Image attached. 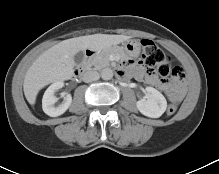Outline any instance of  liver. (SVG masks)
<instances>
[{
  "label": "liver",
  "instance_id": "1",
  "mask_svg": "<svg viewBox=\"0 0 219 174\" xmlns=\"http://www.w3.org/2000/svg\"><path fill=\"white\" fill-rule=\"evenodd\" d=\"M131 36L94 34L67 39L42 53L27 70L23 90L29 104L34 105L38 92L46 85L69 80L74 73V56L86 49L93 52L105 51Z\"/></svg>",
  "mask_w": 219,
  "mask_h": 174
}]
</instances>
